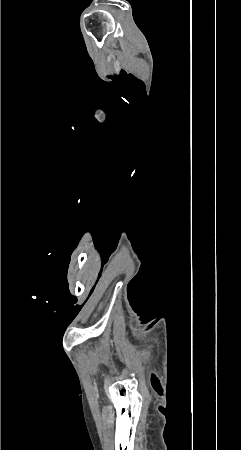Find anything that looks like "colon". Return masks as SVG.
Listing matches in <instances>:
<instances>
[{"label":"colon","instance_id":"obj_1","mask_svg":"<svg viewBox=\"0 0 241 450\" xmlns=\"http://www.w3.org/2000/svg\"><path fill=\"white\" fill-rule=\"evenodd\" d=\"M100 303L102 306H109L111 303V300L109 297H102L100 300Z\"/></svg>","mask_w":241,"mask_h":450}]
</instances>
